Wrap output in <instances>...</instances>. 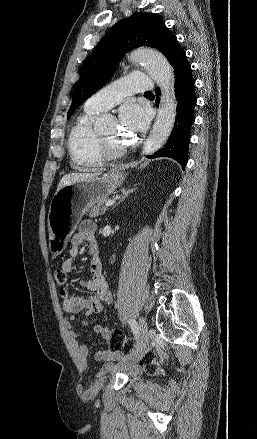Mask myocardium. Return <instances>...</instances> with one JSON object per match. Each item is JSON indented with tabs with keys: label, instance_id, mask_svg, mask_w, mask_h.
Masks as SVG:
<instances>
[{
	"label": "myocardium",
	"instance_id": "myocardium-1",
	"mask_svg": "<svg viewBox=\"0 0 257 439\" xmlns=\"http://www.w3.org/2000/svg\"><path fill=\"white\" fill-rule=\"evenodd\" d=\"M98 143L103 156L108 159L120 157L126 151V147L124 145L112 146L102 134H99L98 136Z\"/></svg>",
	"mask_w": 257,
	"mask_h": 439
}]
</instances>
